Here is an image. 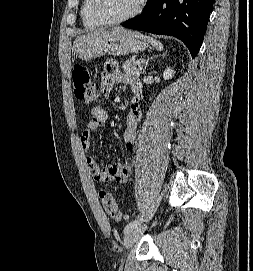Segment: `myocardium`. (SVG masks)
<instances>
[{
  "instance_id": "f54148a6",
  "label": "myocardium",
  "mask_w": 253,
  "mask_h": 271,
  "mask_svg": "<svg viewBox=\"0 0 253 271\" xmlns=\"http://www.w3.org/2000/svg\"><path fill=\"white\" fill-rule=\"evenodd\" d=\"M147 1L148 0H140L134 10H132L129 14L117 19H108L103 15L100 10V0H92V12L98 22L103 25L112 26L126 22L138 16L145 8Z\"/></svg>"
}]
</instances>
